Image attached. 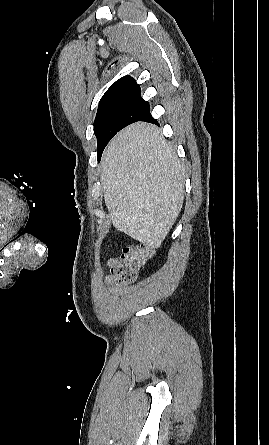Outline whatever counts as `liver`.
Returning <instances> with one entry per match:
<instances>
[{
	"label": "liver",
	"instance_id": "6515ba94",
	"mask_svg": "<svg viewBox=\"0 0 269 445\" xmlns=\"http://www.w3.org/2000/svg\"><path fill=\"white\" fill-rule=\"evenodd\" d=\"M185 168L160 130L144 122L120 131L106 147L101 182L113 226L159 248L184 200Z\"/></svg>",
	"mask_w": 269,
	"mask_h": 445
}]
</instances>
